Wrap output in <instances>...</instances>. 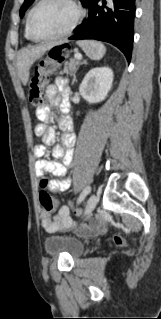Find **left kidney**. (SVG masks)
<instances>
[{
	"instance_id": "1",
	"label": "left kidney",
	"mask_w": 161,
	"mask_h": 319,
	"mask_svg": "<svg viewBox=\"0 0 161 319\" xmlns=\"http://www.w3.org/2000/svg\"><path fill=\"white\" fill-rule=\"evenodd\" d=\"M113 71L109 67L91 69L84 77L79 87L82 97L90 103L103 101L111 90Z\"/></svg>"
}]
</instances>
